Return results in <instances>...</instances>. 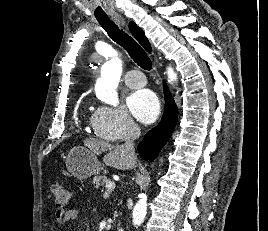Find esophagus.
<instances>
[{"instance_id": "esophagus-1", "label": "esophagus", "mask_w": 268, "mask_h": 231, "mask_svg": "<svg viewBox=\"0 0 268 231\" xmlns=\"http://www.w3.org/2000/svg\"><path fill=\"white\" fill-rule=\"evenodd\" d=\"M112 18H113V20H114L115 22H117V23L120 24L121 26H124V25H125V20H124V18H123L121 15L116 14V15H114ZM154 70H155L156 73H157V69H156V65H155V63H154ZM157 74H158V73H157Z\"/></svg>"}]
</instances>
